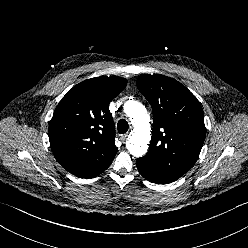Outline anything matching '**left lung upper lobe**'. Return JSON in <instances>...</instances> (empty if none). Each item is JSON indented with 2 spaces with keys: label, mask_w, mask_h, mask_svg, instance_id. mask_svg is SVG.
I'll use <instances>...</instances> for the list:
<instances>
[{
  "label": "left lung upper lobe",
  "mask_w": 248,
  "mask_h": 248,
  "mask_svg": "<svg viewBox=\"0 0 248 248\" xmlns=\"http://www.w3.org/2000/svg\"><path fill=\"white\" fill-rule=\"evenodd\" d=\"M151 104L154 123L148 153L141 159L172 179L184 175L199 157L205 135L203 109L180 82L160 74L137 79Z\"/></svg>",
  "instance_id": "1"
}]
</instances>
